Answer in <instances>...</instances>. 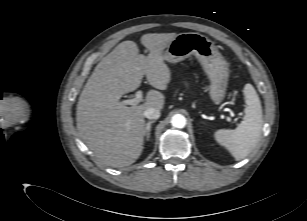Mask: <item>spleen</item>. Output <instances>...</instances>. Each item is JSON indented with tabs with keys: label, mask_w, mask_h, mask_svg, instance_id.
Listing matches in <instances>:
<instances>
[{
	"label": "spleen",
	"mask_w": 307,
	"mask_h": 221,
	"mask_svg": "<svg viewBox=\"0 0 307 221\" xmlns=\"http://www.w3.org/2000/svg\"><path fill=\"white\" fill-rule=\"evenodd\" d=\"M246 102L243 121L234 130L220 129L214 133L215 140L229 150L235 160L246 158L261 137L263 118L259 96L251 84L243 90Z\"/></svg>",
	"instance_id": "3e777b00"
}]
</instances>
